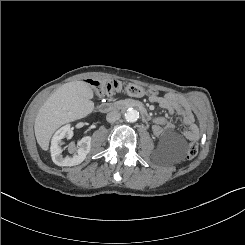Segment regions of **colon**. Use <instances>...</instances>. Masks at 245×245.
<instances>
[{
	"label": "colon",
	"mask_w": 245,
	"mask_h": 245,
	"mask_svg": "<svg viewBox=\"0 0 245 245\" xmlns=\"http://www.w3.org/2000/svg\"><path fill=\"white\" fill-rule=\"evenodd\" d=\"M95 91L99 97H112L119 92H126L127 94L135 97H140L145 94H155L153 90H146L139 85H127L124 86L116 80H105L95 84ZM198 153V145L196 143L189 144L186 152L188 159L194 158Z\"/></svg>",
	"instance_id": "colon-1"
}]
</instances>
